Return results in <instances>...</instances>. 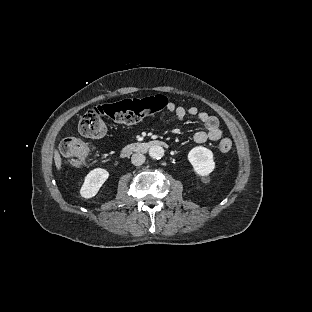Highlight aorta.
I'll return each instance as SVG.
<instances>
[{
  "mask_svg": "<svg viewBox=\"0 0 312 312\" xmlns=\"http://www.w3.org/2000/svg\"><path fill=\"white\" fill-rule=\"evenodd\" d=\"M148 153L151 158L160 159L164 155V149L159 145H152Z\"/></svg>",
  "mask_w": 312,
  "mask_h": 312,
  "instance_id": "762f6f07",
  "label": "aorta"
}]
</instances>
